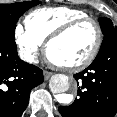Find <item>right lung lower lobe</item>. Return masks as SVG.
<instances>
[{
	"mask_svg": "<svg viewBox=\"0 0 117 117\" xmlns=\"http://www.w3.org/2000/svg\"><path fill=\"white\" fill-rule=\"evenodd\" d=\"M43 81L40 68L18 57L15 38L0 33V117H21L30 91Z\"/></svg>",
	"mask_w": 117,
	"mask_h": 117,
	"instance_id": "98d812e1",
	"label": "right lung lower lobe"
}]
</instances>
